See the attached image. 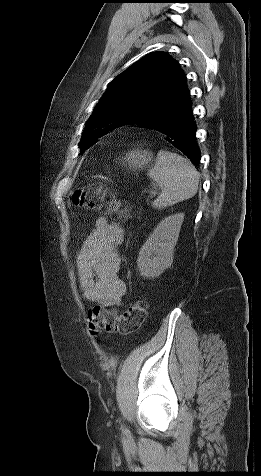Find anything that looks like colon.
<instances>
[{
	"label": "colon",
	"mask_w": 261,
	"mask_h": 476,
	"mask_svg": "<svg viewBox=\"0 0 261 476\" xmlns=\"http://www.w3.org/2000/svg\"><path fill=\"white\" fill-rule=\"evenodd\" d=\"M71 201L75 206L105 212L114 218L126 217L125 210L113 193L99 183L76 189ZM146 315L147 305L141 300L132 302L121 314L113 309L96 305L88 311V327L92 335L102 332L126 335L136 331L144 322Z\"/></svg>",
	"instance_id": "colon-1"
}]
</instances>
